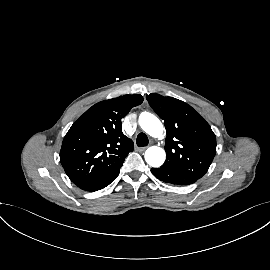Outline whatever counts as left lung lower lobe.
Returning <instances> with one entry per match:
<instances>
[{"label":"left lung lower lobe","mask_w":270,"mask_h":270,"mask_svg":"<svg viewBox=\"0 0 270 270\" xmlns=\"http://www.w3.org/2000/svg\"><path fill=\"white\" fill-rule=\"evenodd\" d=\"M151 172L159 180L175 185H189L198 180L182 171L170 168H152Z\"/></svg>","instance_id":"0a47b994"}]
</instances>
